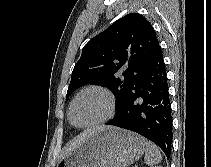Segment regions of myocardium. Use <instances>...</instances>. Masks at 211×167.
<instances>
[{
    "label": "myocardium",
    "mask_w": 211,
    "mask_h": 167,
    "mask_svg": "<svg viewBox=\"0 0 211 167\" xmlns=\"http://www.w3.org/2000/svg\"><path fill=\"white\" fill-rule=\"evenodd\" d=\"M90 91H97V92H100L103 95H105V97L107 98V101H108V112H107V114L104 117H102L99 120H96L94 122H91V123L85 124V125H78V124H76L74 122V120L72 118L73 107H74L76 101L83 94H85L87 92H90ZM115 109H116L115 97H114L113 93L108 88H106L104 86H101V85H89V86L85 87L84 89H82L81 91H79L75 95V97L73 98V100L71 101L70 106H69V110H68V119H69L70 123L73 126H75L76 128H79V129L92 128V127L98 126L100 124H103V123L109 121L113 117V115L115 113Z\"/></svg>",
    "instance_id": "myocardium-1"
}]
</instances>
